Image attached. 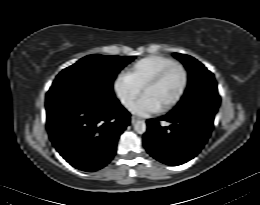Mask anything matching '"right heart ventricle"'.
<instances>
[{"label":"right heart ventricle","instance_id":"1","mask_svg":"<svg viewBox=\"0 0 260 205\" xmlns=\"http://www.w3.org/2000/svg\"><path fill=\"white\" fill-rule=\"evenodd\" d=\"M173 59L163 56H150L138 61L126 75L127 80L138 89H142L146 82L161 70L176 64Z\"/></svg>","mask_w":260,"mask_h":205}]
</instances>
